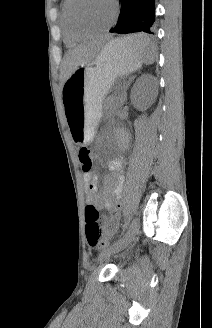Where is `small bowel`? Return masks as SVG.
<instances>
[{
    "label": "small bowel",
    "mask_w": 212,
    "mask_h": 328,
    "mask_svg": "<svg viewBox=\"0 0 212 328\" xmlns=\"http://www.w3.org/2000/svg\"><path fill=\"white\" fill-rule=\"evenodd\" d=\"M109 169L111 175L107 179L106 188L101 192L98 190V181L91 171L84 172L83 177L86 190L89 193L88 201L97 209H105L109 212V215L103 219V230L106 238H111L115 235L120 222L123 188L122 159H113L109 163Z\"/></svg>",
    "instance_id": "obj_1"
}]
</instances>
